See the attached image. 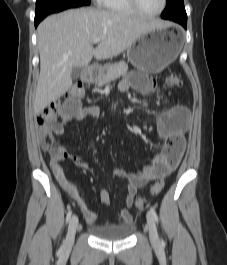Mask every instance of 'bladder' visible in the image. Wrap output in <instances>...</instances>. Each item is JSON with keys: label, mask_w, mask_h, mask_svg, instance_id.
<instances>
[{"label": "bladder", "mask_w": 227, "mask_h": 265, "mask_svg": "<svg viewBox=\"0 0 227 265\" xmlns=\"http://www.w3.org/2000/svg\"><path fill=\"white\" fill-rule=\"evenodd\" d=\"M88 231L94 237L105 241H121L129 238L135 231L133 223H127L116 226L109 225H91Z\"/></svg>", "instance_id": "obj_1"}]
</instances>
